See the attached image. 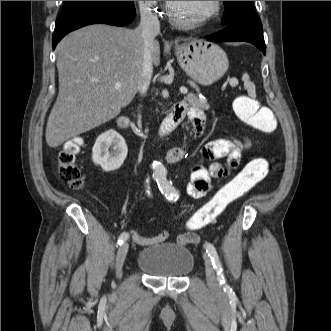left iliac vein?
<instances>
[{"mask_svg":"<svg viewBox=\"0 0 331 331\" xmlns=\"http://www.w3.org/2000/svg\"><path fill=\"white\" fill-rule=\"evenodd\" d=\"M203 258H204V261H205V271H206L207 284L211 289H217L218 283H217V280H216L215 271H214V267L212 265V261L209 258V256H207V254H204Z\"/></svg>","mask_w":331,"mask_h":331,"instance_id":"4c4485c4","label":"left iliac vein"}]
</instances>
